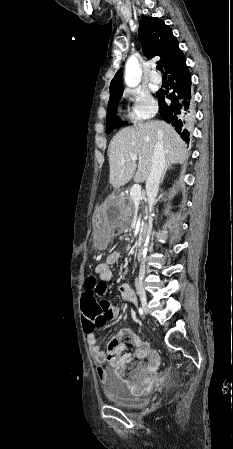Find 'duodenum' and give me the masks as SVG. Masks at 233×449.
<instances>
[{
  "instance_id": "410a0bca",
  "label": "duodenum",
  "mask_w": 233,
  "mask_h": 449,
  "mask_svg": "<svg viewBox=\"0 0 233 449\" xmlns=\"http://www.w3.org/2000/svg\"><path fill=\"white\" fill-rule=\"evenodd\" d=\"M135 257L137 260H141L143 258V248L142 247H138L135 250Z\"/></svg>"
}]
</instances>
